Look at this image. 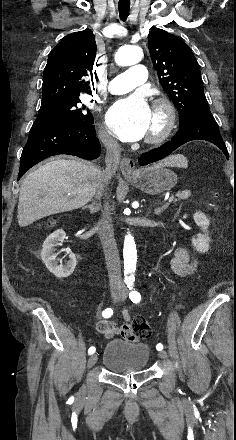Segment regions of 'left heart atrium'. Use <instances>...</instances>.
<instances>
[{
    "mask_svg": "<svg viewBox=\"0 0 236 440\" xmlns=\"http://www.w3.org/2000/svg\"><path fill=\"white\" fill-rule=\"evenodd\" d=\"M151 121V108L146 99L138 94L116 101L107 114L111 132L126 142L141 139L149 131Z\"/></svg>",
    "mask_w": 236,
    "mask_h": 440,
    "instance_id": "left-heart-atrium-1",
    "label": "left heart atrium"
}]
</instances>
